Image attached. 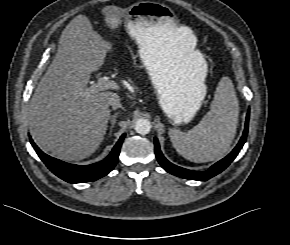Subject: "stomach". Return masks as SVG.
Returning a JSON list of instances; mask_svg holds the SVG:
<instances>
[{
	"label": "stomach",
	"instance_id": "stomach-1",
	"mask_svg": "<svg viewBox=\"0 0 290 245\" xmlns=\"http://www.w3.org/2000/svg\"><path fill=\"white\" fill-rule=\"evenodd\" d=\"M109 23L113 29L123 26L138 45L140 59L168 117L174 124L189 122L206 94L205 71L194 53L183 60L176 57L168 36L175 26L174 18L152 8L131 9Z\"/></svg>",
	"mask_w": 290,
	"mask_h": 245
}]
</instances>
